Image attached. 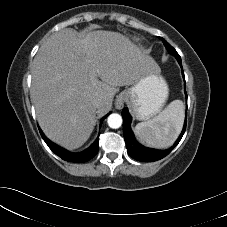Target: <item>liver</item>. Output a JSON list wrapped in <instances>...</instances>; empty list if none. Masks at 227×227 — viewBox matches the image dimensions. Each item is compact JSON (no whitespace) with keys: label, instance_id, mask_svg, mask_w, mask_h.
I'll use <instances>...</instances> for the list:
<instances>
[{"label":"liver","instance_id":"liver-1","mask_svg":"<svg viewBox=\"0 0 227 227\" xmlns=\"http://www.w3.org/2000/svg\"><path fill=\"white\" fill-rule=\"evenodd\" d=\"M159 67L124 35L93 31L80 38L74 30L52 34L32 64L30 96L45 135L67 149L90 137L95 114L112 106L117 87L129 86ZM102 100L99 108L93 106Z\"/></svg>","mask_w":227,"mask_h":227}]
</instances>
